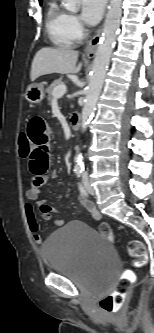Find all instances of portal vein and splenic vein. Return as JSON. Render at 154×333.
<instances>
[{
  "instance_id": "obj_1",
  "label": "portal vein and splenic vein",
  "mask_w": 154,
  "mask_h": 333,
  "mask_svg": "<svg viewBox=\"0 0 154 333\" xmlns=\"http://www.w3.org/2000/svg\"><path fill=\"white\" fill-rule=\"evenodd\" d=\"M67 87L64 84L58 85L53 90V97L55 98H61L66 93Z\"/></svg>"
}]
</instances>
